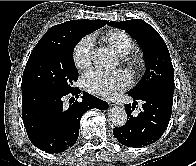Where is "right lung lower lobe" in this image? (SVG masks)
Returning a JSON list of instances; mask_svg holds the SVG:
<instances>
[{
  "instance_id": "1",
  "label": "right lung lower lobe",
  "mask_w": 196,
  "mask_h": 166,
  "mask_svg": "<svg viewBox=\"0 0 196 166\" xmlns=\"http://www.w3.org/2000/svg\"><path fill=\"white\" fill-rule=\"evenodd\" d=\"M80 92L75 88L68 94L47 90L22 93L23 122L28 138L37 148L47 153L65 151L77 141L80 119L85 112L92 108H109L107 102L86 92L81 102L76 100L69 107L63 105L65 96L78 98Z\"/></svg>"
}]
</instances>
